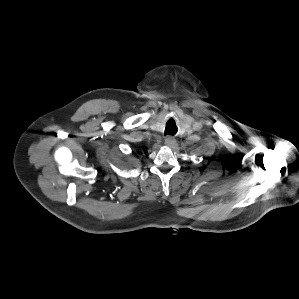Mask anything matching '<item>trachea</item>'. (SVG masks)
Here are the masks:
<instances>
[{
    "label": "trachea",
    "mask_w": 299,
    "mask_h": 299,
    "mask_svg": "<svg viewBox=\"0 0 299 299\" xmlns=\"http://www.w3.org/2000/svg\"><path fill=\"white\" fill-rule=\"evenodd\" d=\"M177 132V127L174 122H168L165 128V135H174Z\"/></svg>",
    "instance_id": "1"
}]
</instances>
